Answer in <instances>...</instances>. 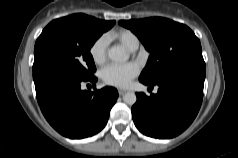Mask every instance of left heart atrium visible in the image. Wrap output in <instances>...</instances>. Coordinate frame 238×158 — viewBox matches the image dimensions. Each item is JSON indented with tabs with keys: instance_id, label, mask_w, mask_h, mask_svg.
<instances>
[{
	"instance_id": "obj_1",
	"label": "left heart atrium",
	"mask_w": 238,
	"mask_h": 158,
	"mask_svg": "<svg viewBox=\"0 0 238 158\" xmlns=\"http://www.w3.org/2000/svg\"><path fill=\"white\" fill-rule=\"evenodd\" d=\"M138 73L139 67L133 62L125 64L111 63L103 68L101 76L106 84L123 88L127 87Z\"/></svg>"
}]
</instances>
